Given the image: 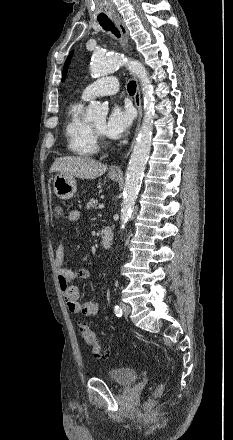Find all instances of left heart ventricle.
Listing matches in <instances>:
<instances>
[{
    "label": "left heart ventricle",
    "instance_id": "b2bd125f",
    "mask_svg": "<svg viewBox=\"0 0 233 440\" xmlns=\"http://www.w3.org/2000/svg\"><path fill=\"white\" fill-rule=\"evenodd\" d=\"M97 129H99L100 131H102L103 133H105V124H106V119L100 118L98 120H96L95 122L92 123Z\"/></svg>",
    "mask_w": 233,
    "mask_h": 440
}]
</instances>
